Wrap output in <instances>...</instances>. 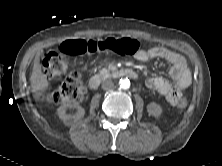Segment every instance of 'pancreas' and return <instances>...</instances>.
I'll return each mask as SVG.
<instances>
[{
  "label": "pancreas",
  "mask_w": 222,
  "mask_h": 166,
  "mask_svg": "<svg viewBox=\"0 0 222 166\" xmlns=\"http://www.w3.org/2000/svg\"><path fill=\"white\" fill-rule=\"evenodd\" d=\"M99 75L102 77H109L110 76V70L103 68L102 70L99 71Z\"/></svg>",
  "instance_id": "cf45deb5"
}]
</instances>
